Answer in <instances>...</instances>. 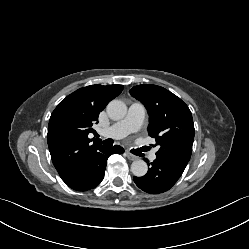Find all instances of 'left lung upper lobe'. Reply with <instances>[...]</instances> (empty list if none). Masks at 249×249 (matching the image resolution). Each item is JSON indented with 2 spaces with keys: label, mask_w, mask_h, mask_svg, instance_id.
Wrapping results in <instances>:
<instances>
[{
  "label": "left lung upper lobe",
  "mask_w": 249,
  "mask_h": 249,
  "mask_svg": "<svg viewBox=\"0 0 249 249\" xmlns=\"http://www.w3.org/2000/svg\"><path fill=\"white\" fill-rule=\"evenodd\" d=\"M130 94L149 114V135L156 140L158 158L186 167L192 153L194 124L188 106L176 95L156 85H138Z\"/></svg>",
  "instance_id": "5c2ea615"
}]
</instances>
